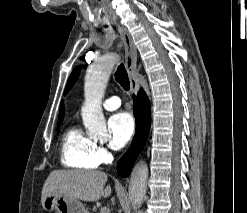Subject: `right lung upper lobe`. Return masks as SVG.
<instances>
[{
  "instance_id": "1",
  "label": "right lung upper lobe",
  "mask_w": 247,
  "mask_h": 213,
  "mask_svg": "<svg viewBox=\"0 0 247 213\" xmlns=\"http://www.w3.org/2000/svg\"><path fill=\"white\" fill-rule=\"evenodd\" d=\"M63 117H64V105L61 104L60 114H59V122H61L63 120Z\"/></svg>"
}]
</instances>
